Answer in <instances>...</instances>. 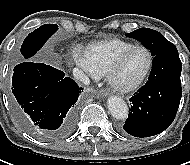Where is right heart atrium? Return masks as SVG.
Returning a JSON list of instances; mask_svg holds the SVG:
<instances>
[{"mask_svg":"<svg viewBox=\"0 0 190 165\" xmlns=\"http://www.w3.org/2000/svg\"><path fill=\"white\" fill-rule=\"evenodd\" d=\"M74 62L75 64L80 67L83 71H85L87 74L91 75L92 77H97L94 71L92 70L86 51L78 48L74 51Z\"/></svg>","mask_w":190,"mask_h":165,"instance_id":"right-heart-atrium-1","label":"right heart atrium"}]
</instances>
